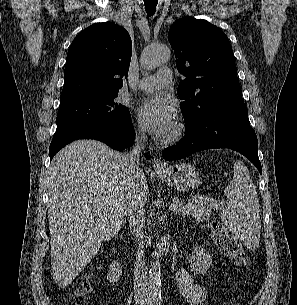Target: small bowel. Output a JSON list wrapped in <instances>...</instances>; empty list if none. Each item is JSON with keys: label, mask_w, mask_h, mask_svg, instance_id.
<instances>
[{"label": "small bowel", "mask_w": 297, "mask_h": 305, "mask_svg": "<svg viewBox=\"0 0 297 305\" xmlns=\"http://www.w3.org/2000/svg\"><path fill=\"white\" fill-rule=\"evenodd\" d=\"M176 281L180 291L191 305H201L207 299V289L196 283L187 270L179 269L176 273Z\"/></svg>", "instance_id": "1"}]
</instances>
